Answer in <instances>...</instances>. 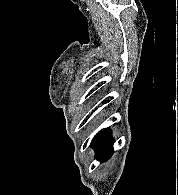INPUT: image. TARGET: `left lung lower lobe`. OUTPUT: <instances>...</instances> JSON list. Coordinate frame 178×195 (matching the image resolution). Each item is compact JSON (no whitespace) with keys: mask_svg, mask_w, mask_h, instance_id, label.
<instances>
[{"mask_svg":"<svg viewBox=\"0 0 178 195\" xmlns=\"http://www.w3.org/2000/svg\"><path fill=\"white\" fill-rule=\"evenodd\" d=\"M113 140L108 128L99 131L92 139L91 146L96 148V159L100 162L107 160L112 154Z\"/></svg>","mask_w":178,"mask_h":195,"instance_id":"left-lung-lower-lobe-1","label":"left lung lower lobe"}]
</instances>
